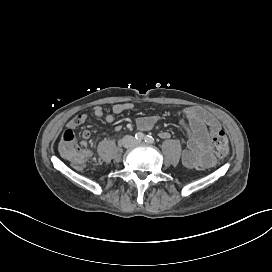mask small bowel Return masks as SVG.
Listing matches in <instances>:
<instances>
[{
	"label": "small bowel",
	"instance_id": "small-bowel-1",
	"mask_svg": "<svg viewBox=\"0 0 272 272\" xmlns=\"http://www.w3.org/2000/svg\"><path fill=\"white\" fill-rule=\"evenodd\" d=\"M132 109L133 104L126 102L115 104L112 111L114 114H121ZM92 113L96 118L104 117L105 122L108 124L114 122V115H105L103 108L99 105L93 107ZM87 119V114L80 113L71 119L67 123V126H71L76 129L78 126L85 124ZM158 119L159 118L156 115L141 117L137 120V126L140 130L147 131L153 128ZM181 125L187 135V144L183 150L182 161L185 166L195 168L205 162L204 155L208 149V136L211 132L219 130V123L217 119L207 110L193 106L184 110ZM116 130L120 131L121 126H116ZM82 136L85 140L89 139L91 136V131L89 129H84ZM159 136L162 139H167L170 137V133L167 131H162L160 132Z\"/></svg>",
	"mask_w": 272,
	"mask_h": 272
}]
</instances>
